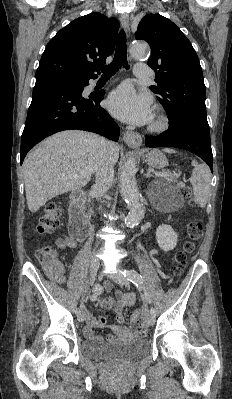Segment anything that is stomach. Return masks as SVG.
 <instances>
[{"label":"stomach","mask_w":232,"mask_h":399,"mask_svg":"<svg viewBox=\"0 0 232 399\" xmlns=\"http://www.w3.org/2000/svg\"><path fill=\"white\" fill-rule=\"evenodd\" d=\"M146 162H148L151 168H156V170H162L168 164V160L160 150H151L146 154Z\"/></svg>","instance_id":"stomach-1"}]
</instances>
